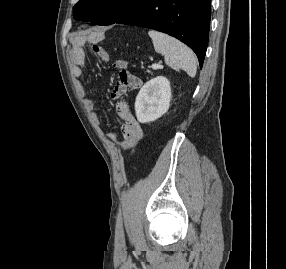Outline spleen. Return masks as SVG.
<instances>
[{
	"label": "spleen",
	"mask_w": 286,
	"mask_h": 269,
	"mask_svg": "<svg viewBox=\"0 0 286 269\" xmlns=\"http://www.w3.org/2000/svg\"><path fill=\"white\" fill-rule=\"evenodd\" d=\"M156 52L164 55L165 63L172 69L184 70L190 77H195L197 59L193 51L179 40L155 30L148 32Z\"/></svg>",
	"instance_id": "3e777b00"
}]
</instances>
